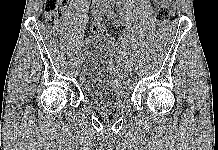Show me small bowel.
Listing matches in <instances>:
<instances>
[{
  "label": "small bowel",
  "mask_w": 218,
  "mask_h": 150,
  "mask_svg": "<svg viewBox=\"0 0 218 150\" xmlns=\"http://www.w3.org/2000/svg\"><path fill=\"white\" fill-rule=\"evenodd\" d=\"M155 2H156L159 6L167 7V8H169L170 10L173 9V0H155ZM95 25H98V23L95 24Z\"/></svg>",
  "instance_id": "c3829d8e"
}]
</instances>
